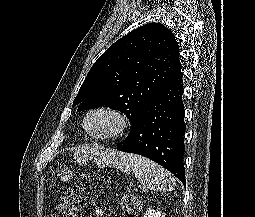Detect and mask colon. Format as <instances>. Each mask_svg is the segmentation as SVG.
<instances>
[{"instance_id": "colon-1", "label": "colon", "mask_w": 255, "mask_h": 217, "mask_svg": "<svg viewBox=\"0 0 255 217\" xmlns=\"http://www.w3.org/2000/svg\"><path fill=\"white\" fill-rule=\"evenodd\" d=\"M86 193L76 187L66 189L62 194L61 203L54 210L52 217H76L86 203ZM141 203L137 196L126 195L122 198V210L127 217H135L140 211Z\"/></svg>"}]
</instances>
